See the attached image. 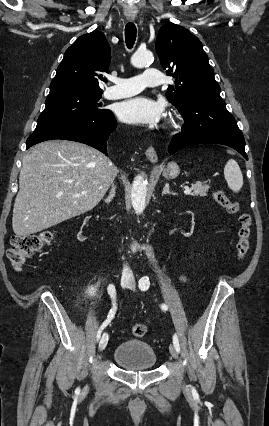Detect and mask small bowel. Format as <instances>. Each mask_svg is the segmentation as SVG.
I'll list each match as a JSON object with an SVG mask.
<instances>
[{"instance_id": "small-bowel-1", "label": "small bowel", "mask_w": 269, "mask_h": 426, "mask_svg": "<svg viewBox=\"0 0 269 426\" xmlns=\"http://www.w3.org/2000/svg\"><path fill=\"white\" fill-rule=\"evenodd\" d=\"M182 278H183V279H185L186 277H185V276H182Z\"/></svg>"}]
</instances>
